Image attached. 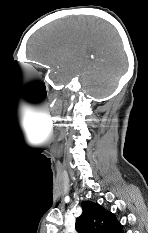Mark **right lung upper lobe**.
Wrapping results in <instances>:
<instances>
[{
	"instance_id": "1",
	"label": "right lung upper lobe",
	"mask_w": 148,
	"mask_h": 233,
	"mask_svg": "<svg viewBox=\"0 0 148 233\" xmlns=\"http://www.w3.org/2000/svg\"><path fill=\"white\" fill-rule=\"evenodd\" d=\"M83 213L76 219L79 233H123L122 225L111 212L91 201L82 203Z\"/></svg>"
}]
</instances>
